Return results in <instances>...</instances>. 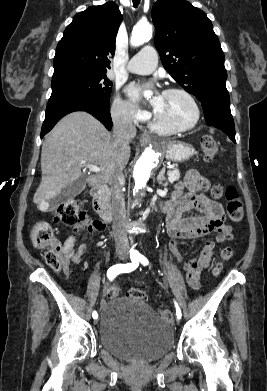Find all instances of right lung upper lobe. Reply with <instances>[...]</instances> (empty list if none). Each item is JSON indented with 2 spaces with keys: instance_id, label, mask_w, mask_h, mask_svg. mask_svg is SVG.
<instances>
[{
  "instance_id": "right-lung-upper-lobe-1",
  "label": "right lung upper lobe",
  "mask_w": 267,
  "mask_h": 391,
  "mask_svg": "<svg viewBox=\"0 0 267 391\" xmlns=\"http://www.w3.org/2000/svg\"><path fill=\"white\" fill-rule=\"evenodd\" d=\"M122 21L118 6H92L74 16L56 48L53 76L72 71H106Z\"/></svg>"
}]
</instances>
